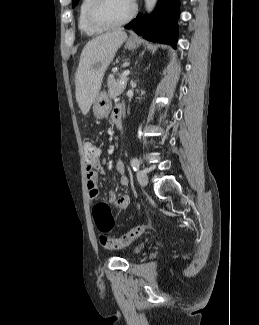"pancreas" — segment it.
I'll return each instance as SVG.
<instances>
[{"mask_svg":"<svg viewBox=\"0 0 259 325\" xmlns=\"http://www.w3.org/2000/svg\"><path fill=\"white\" fill-rule=\"evenodd\" d=\"M127 81V77L122 76L119 80H116L114 78V75L111 74L107 80L108 93L110 98H116L117 96L122 94L126 88Z\"/></svg>","mask_w":259,"mask_h":325,"instance_id":"obj_1","label":"pancreas"}]
</instances>
